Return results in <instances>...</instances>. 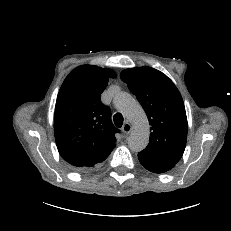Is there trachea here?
I'll return each instance as SVG.
<instances>
[{
	"mask_svg": "<svg viewBox=\"0 0 231 231\" xmlns=\"http://www.w3.org/2000/svg\"><path fill=\"white\" fill-rule=\"evenodd\" d=\"M114 120V124L116 125V127L120 128L123 125V116L119 113L115 114L113 117Z\"/></svg>",
	"mask_w": 231,
	"mask_h": 231,
	"instance_id": "obj_1",
	"label": "trachea"
}]
</instances>
